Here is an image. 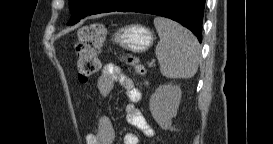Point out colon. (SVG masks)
<instances>
[{"label":"colon","instance_id":"obj_1","mask_svg":"<svg viewBox=\"0 0 273 144\" xmlns=\"http://www.w3.org/2000/svg\"><path fill=\"white\" fill-rule=\"evenodd\" d=\"M104 34V27L99 24H92L83 27L79 32L77 43V77L80 82L89 81L99 70V50ZM126 62L138 73H143L144 69L131 57L126 58Z\"/></svg>","mask_w":273,"mask_h":144}]
</instances>
